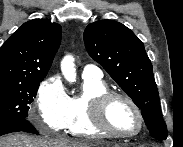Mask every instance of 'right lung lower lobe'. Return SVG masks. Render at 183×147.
<instances>
[{"label": "right lung lower lobe", "instance_id": "obj_1", "mask_svg": "<svg viewBox=\"0 0 183 147\" xmlns=\"http://www.w3.org/2000/svg\"><path fill=\"white\" fill-rule=\"evenodd\" d=\"M18 131L38 134L36 129L28 122L26 118L12 119L0 122V136L7 133L18 132Z\"/></svg>", "mask_w": 183, "mask_h": 147}]
</instances>
